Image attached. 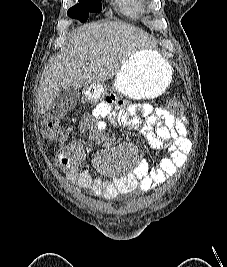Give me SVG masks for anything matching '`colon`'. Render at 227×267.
<instances>
[{"instance_id":"5ec220e1","label":"colon","mask_w":227,"mask_h":267,"mask_svg":"<svg viewBox=\"0 0 227 267\" xmlns=\"http://www.w3.org/2000/svg\"><path fill=\"white\" fill-rule=\"evenodd\" d=\"M167 110L172 114L182 111L181 105L176 100H170L167 104ZM62 119L59 115H48L41 123V135L48 140H60L64 133Z\"/></svg>"}]
</instances>
